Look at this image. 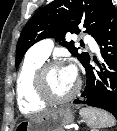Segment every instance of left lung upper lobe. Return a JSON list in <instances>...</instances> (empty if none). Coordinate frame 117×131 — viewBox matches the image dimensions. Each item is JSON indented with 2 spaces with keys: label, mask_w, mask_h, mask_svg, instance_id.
I'll return each mask as SVG.
<instances>
[{
  "label": "left lung upper lobe",
  "mask_w": 117,
  "mask_h": 131,
  "mask_svg": "<svg viewBox=\"0 0 117 131\" xmlns=\"http://www.w3.org/2000/svg\"><path fill=\"white\" fill-rule=\"evenodd\" d=\"M110 0H54L38 11L24 26L17 42L16 66L26 51L36 42L46 37H54L61 45L66 46L71 54L84 65L89 57L86 52L78 53L73 41H65L67 32H80L79 24L85 32L96 35L103 13Z\"/></svg>",
  "instance_id": "left-lung-upper-lobe-1"
}]
</instances>
